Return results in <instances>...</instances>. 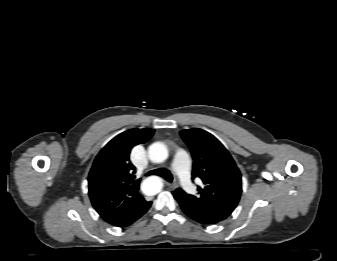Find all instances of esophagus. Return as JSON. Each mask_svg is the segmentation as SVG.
I'll list each match as a JSON object with an SVG mask.
<instances>
[{"instance_id": "esophagus-1", "label": "esophagus", "mask_w": 337, "mask_h": 261, "mask_svg": "<svg viewBox=\"0 0 337 261\" xmlns=\"http://www.w3.org/2000/svg\"><path fill=\"white\" fill-rule=\"evenodd\" d=\"M168 186L172 189H175L177 187V183L176 182L168 183Z\"/></svg>"}]
</instances>
